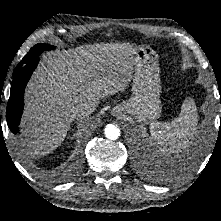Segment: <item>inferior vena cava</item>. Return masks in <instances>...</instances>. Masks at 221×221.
Segmentation results:
<instances>
[{
  "instance_id": "602c4592",
  "label": "inferior vena cava",
  "mask_w": 221,
  "mask_h": 221,
  "mask_svg": "<svg viewBox=\"0 0 221 221\" xmlns=\"http://www.w3.org/2000/svg\"><path fill=\"white\" fill-rule=\"evenodd\" d=\"M96 106L92 102H81L75 107V113L79 117H88L95 110Z\"/></svg>"
}]
</instances>
